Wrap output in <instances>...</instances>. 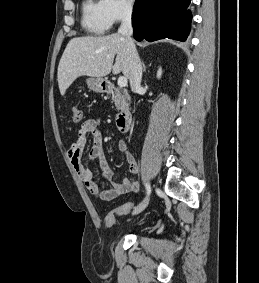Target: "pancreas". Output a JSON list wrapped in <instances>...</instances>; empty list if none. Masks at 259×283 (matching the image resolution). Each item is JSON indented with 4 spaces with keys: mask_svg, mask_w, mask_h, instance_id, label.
I'll return each mask as SVG.
<instances>
[{
    "mask_svg": "<svg viewBox=\"0 0 259 283\" xmlns=\"http://www.w3.org/2000/svg\"><path fill=\"white\" fill-rule=\"evenodd\" d=\"M129 95L127 91L122 92L119 88L115 89V93L112 97V100L115 102L117 110L126 109L129 107Z\"/></svg>",
    "mask_w": 259,
    "mask_h": 283,
    "instance_id": "1",
    "label": "pancreas"
}]
</instances>
